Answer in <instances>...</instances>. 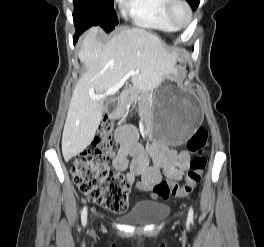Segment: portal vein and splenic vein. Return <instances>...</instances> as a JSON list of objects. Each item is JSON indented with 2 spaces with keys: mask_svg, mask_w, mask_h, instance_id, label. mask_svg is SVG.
I'll return each mask as SVG.
<instances>
[{
  "mask_svg": "<svg viewBox=\"0 0 264 247\" xmlns=\"http://www.w3.org/2000/svg\"><path fill=\"white\" fill-rule=\"evenodd\" d=\"M129 76H135V73L134 72H130L128 73L119 83H117L116 85H114L113 87L109 88L106 90L105 93H102V94H98V95H95V94H91L90 98L92 100H101L103 98H105L106 96H109V95H112L114 93H116V91L119 90L120 87H122L125 79Z\"/></svg>",
  "mask_w": 264,
  "mask_h": 247,
  "instance_id": "1",
  "label": "portal vein and splenic vein"
}]
</instances>
